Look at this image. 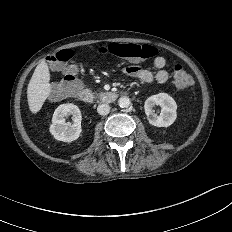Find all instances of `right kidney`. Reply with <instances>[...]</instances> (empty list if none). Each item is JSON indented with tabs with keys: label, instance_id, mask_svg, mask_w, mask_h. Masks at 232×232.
I'll return each mask as SVG.
<instances>
[{
	"label": "right kidney",
	"instance_id": "right-kidney-1",
	"mask_svg": "<svg viewBox=\"0 0 232 232\" xmlns=\"http://www.w3.org/2000/svg\"><path fill=\"white\" fill-rule=\"evenodd\" d=\"M72 115L73 124L68 126L65 122V117ZM81 111L72 104H61L58 106L52 117V124L50 126V133L58 141L72 142L79 138L81 128Z\"/></svg>",
	"mask_w": 232,
	"mask_h": 232
}]
</instances>
